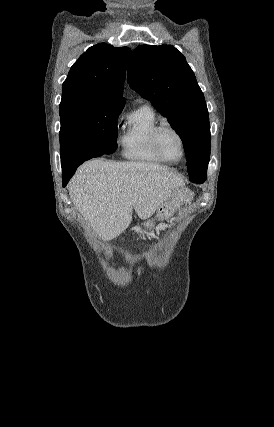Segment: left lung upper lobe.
Listing matches in <instances>:
<instances>
[{"label": "left lung upper lobe", "instance_id": "1", "mask_svg": "<svg viewBox=\"0 0 274 427\" xmlns=\"http://www.w3.org/2000/svg\"><path fill=\"white\" fill-rule=\"evenodd\" d=\"M128 81L180 136L189 175H206L211 138L208 110L185 57L171 45L138 46L129 61Z\"/></svg>", "mask_w": 274, "mask_h": 427}]
</instances>
